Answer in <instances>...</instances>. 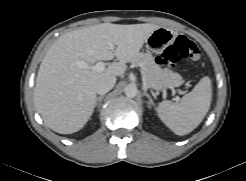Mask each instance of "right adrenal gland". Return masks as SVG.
I'll return each mask as SVG.
<instances>
[{
  "label": "right adrenal gland",
  "instance_id": "obj_1",
  "mask_svg": "<svg viewBox=\"0 0 246 181\" xmlns=\"http://www.w3.org/2000/svg\"><path fill=\"white\" fill-rule=\"evenodd\" d=\"M103 98H104V95H101L96 98V106H99L101 104Z\"/></svg>",
  "mask_w": 246,
  "mask_h": 181
}]
</instances>
